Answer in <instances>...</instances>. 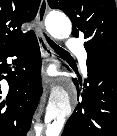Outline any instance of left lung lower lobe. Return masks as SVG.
Segmentation results:
<instances>
[{
    "label": "left lung lower lobe",
    "instance_id": "left-lung-lower-lobe-1",
    "mask_svg": "<svg viewBox=\"0 0 117 136\" xmlns=\"http://www.w3.org/2000/svg\"><path fill=\"white\" fill-rule=\"evenodd\" d=\"M87 71L83 89L74 82L79 102L61 136H117V61L87 60Z\"/></svg>",
    "mask_w": 117,
    "mask_h": 136
}]
</instances>
